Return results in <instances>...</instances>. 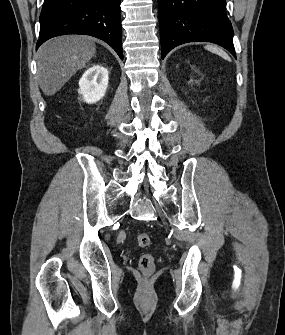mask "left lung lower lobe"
Instances as JSON below:
<instances>
[{"mask_svg":"<svg viewBox=\"0 0 285 335\" xmlns=\"http://www.w3.org/2000/svg\"><path fill=\"white\" fill-rule=\"evenodd\" d=\"M162 59L187 42H212L236 57L226 0H158Z\"/></svg>","mask_w":285,"mask_h":335,"instance_id":"0a47b994","label":"left lung lower lobe"}]
</instances>
